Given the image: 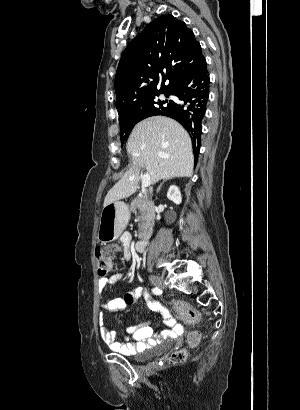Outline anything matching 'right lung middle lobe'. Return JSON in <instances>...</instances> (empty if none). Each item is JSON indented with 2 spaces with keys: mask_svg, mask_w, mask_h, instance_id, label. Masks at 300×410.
Instances as JSON below:
<instances>
[{
  "mask_svg": "<svg viewBox=\"0 0 300 410\" xmlns=\"http://www.w3.org/2000/svg\"><path fill=\"white\" fill-rule=\"evenodd\" d=\"M160 93H163L166 97L171 95V91H162L157 94H154L147 99L143 101V108L141 110V113L133 118L126 119L124 121H120V128H121V141H126L132 128L134 125L141 121L144 118H147L149 116L156 115L160 110L165 108L164 104H170L171 100H165V101H156V96H158Z\"/></svg>",
  "mask_w": 300,
  "mask_h": 410,
  "instance_id": "dd1d6c3e",
  "label": "right lung middle lobe"
}]
</instances>
